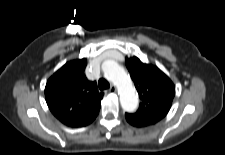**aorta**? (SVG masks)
Instances as JSON below:
<instances>
[{
  "instance_id": "762f6f07",
  "label": "aorta",
  "mask_w": 225,
  "mask_h": 155,
  "mask_svg": "<svg viewBox=\"0 0 225 155\" xmlns=\"http://www.w3.org/2000/svg\"><path fill=\"white\" fill-rule=\"evenodd\" d=\"M101 68L104 76L116 85L123 110L127 112L135 111L139 103L138 95L124 69L114 60L104 61Z\"/></svg>"
}]
</instances>
